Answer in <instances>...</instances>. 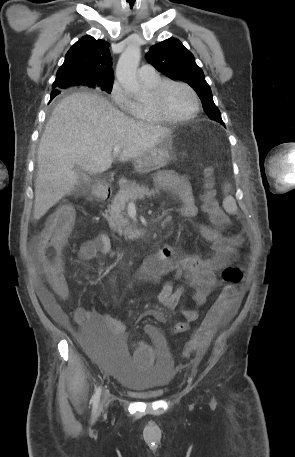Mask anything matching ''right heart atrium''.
<instances>
[{"label": "right heart atrium", "mask_w": 295, "mask_h": 457, "mask_svg": "<svg viewBox=\"0 0 295 457\" xmlns=\"http://www.w3.org/2000/svg\"><path fill=\"white\" fill-rule=\"evenodd\" d=\"M110 96L112 101L123 111L131 113L133 110L134 102L122 88V86L115 82L112 85Z\"/></svg>", "instance_id": "1"}]
</instances>
